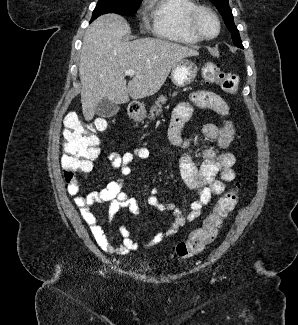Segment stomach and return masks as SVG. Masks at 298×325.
Segmentation results:
<instances>
[{"label":"stomach","mask_w":298,"mask_h":325,"mask_svg":"<svg viewBox=\"0 0 298 325\" xmlns=\"http://www.w3.org/2000/svg\"><path fill=\"white\" fill-rule=\"evenodd\" d=\"M197 72L198 68L196 62L189 60V58H181L177 64H174L171 70L170 78L175 86L181 88V86L191 84V82L195 80ZM145 116L146 110L144 106H142V108L135 110L132 118H134V120H144Z\"/></svg>","instance_id":"1"}]
</instances>
